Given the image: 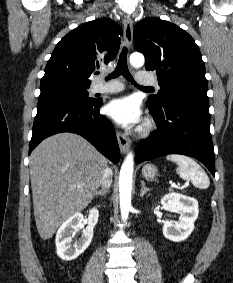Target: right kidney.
Listing matches in <instances>:
<instances>
[{
  "label": "right kidney",
  "mask_w": 233,
  "mask_h": 283,
  "mask_svg": "<svg viewBox=\"0 0 233 283\" xmlns=\"http://www.w3.org/2000/svg\"><path fill=\"white\" fill-rule=\"evenodd\" d=\"M98 216V210L92 209L89 211L88 219H84L83 214L76 213L61 225L57 231L55 243L57 255L62 260H74L88 248L93 238V229L98 221ZM83 222H86L88 226L83 230L81 238L71 244L72 236L82 228Z\"/></svg>",
  "instance_id": "right-kidney-1"
}]
</instances>
